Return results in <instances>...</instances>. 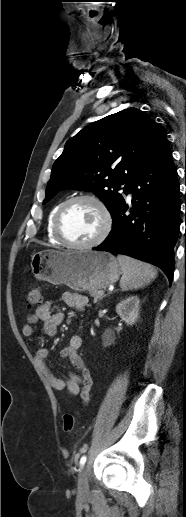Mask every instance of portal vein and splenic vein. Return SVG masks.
I'll return each mask as SVG.
<instances>
[{"mask_svg":"<svg viewBox=\"0 0 186 517\" xmlns=\"http://www.w3.org/2000/svg\"><path fill=\"white\" fill-rule=\"evenodd\" d=\"M99 295H104V291H99Z\"/></svg>","mask_w":186,"mask_h":517,"instance_id":"portal-vein-and-splenic-vein-1","label":"portal vein and splenic vein"}]
</instances>
